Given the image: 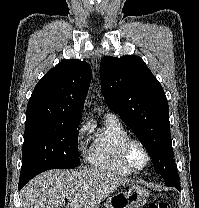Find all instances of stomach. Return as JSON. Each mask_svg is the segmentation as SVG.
I'll return each instance as SVG.
<instances>
[{
    "label": "stomach",
    "instance_id": "1",
    "mask_svg": "<svg viewBox=\"0 0 199 208\" xmlns=\"http://www.w3.org/2000/svg\"><path fill=\"white\" fill-rule=\"evenodd\" d=\"M148 197L149 193L145 188L134 185L109 196L104 206L105 208H140L148 201Z\"/></svg>",
    "mask_w": 199,
    "mask_h": 208
}]
</instances>
